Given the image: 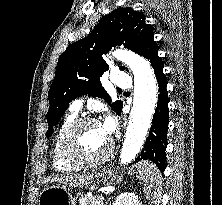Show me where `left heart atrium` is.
I'll return each instance as SVG.
<instances>
[{
    "mask_svg": "<svg viewBox=\"0 0 222 205\" xmlns=\"http://www.w3.org/2000/svg\"><path fill=\"white\" fill-rule=\"evenodd\" d=\"M100 125L104 133L110 137L115 129V120L108 115Z\"/></svg>",
    "mask_w": 222,
    "mask_h": 205,
    "instance_id": "1",
    "label": "left heart atrium"
}]
</instances>
